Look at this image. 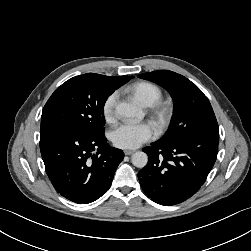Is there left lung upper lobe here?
Returning <instances> with one entry per match:
<instances>
[{
  "label": "left lung upper lobe",
  "mask_w": 251,
  "mask_h": 251,
  "mask_svg": "<svg viewBox=\"0 0 251 251\" xmlns=\"http://www.w3.org/2000/svg\"><path fill=\"white\" fill-rule=\"evenodd\" d=\"M165 88L174 101V116L169 130L159 140L176 143L198 135L219 136V127L208 98L189 79L168 70L138 75Z\"/></svg>",
  "instance_id": "obj_1"
}]
</instances>
